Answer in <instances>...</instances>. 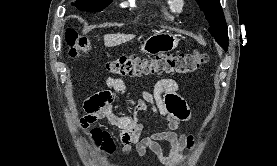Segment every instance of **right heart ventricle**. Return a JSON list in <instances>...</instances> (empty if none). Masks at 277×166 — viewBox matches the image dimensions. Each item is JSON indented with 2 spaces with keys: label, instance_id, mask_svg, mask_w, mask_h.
I'll return each instance as SVG.
<instances>
[{
  "label": "right heart ventricle",
  "instance_id": "1",
  "mask_svg": "<svg viewBox=\"0 0 277 166\" xmlns=\"http://www.w3.org/2000/svg\"><path fill=\"white\" fill-rule=\"evenodd\" d=\"M158 4L164 14L171 16L170 14L173 12V8L170 4V0H159Z\"/></svg>",
  "mask_w": 277,
  "mask_h": 166
}]
</instances>
